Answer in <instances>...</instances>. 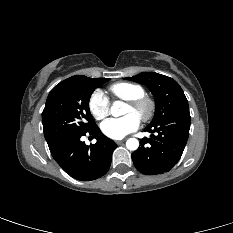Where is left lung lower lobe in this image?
Listing matches in <instances>:
<instances>
[{"label":"left lung lower lobe","instance_id":"left-lung-lower-lobe-1","mask_svg":"<svg viewBox=\"0 0 233 233\" xmlns=\"http://www.w3.org/2000/svg\"><path fill=\"white\" fill-rule=\"evenodd\" d=\"M191 117L189 111L169 116L161 122L147 126L151 138L140 140V147L132 153L137 170L145 175L168 172L181 158L189 137Z\"/></svg>","mask_w":233,"mask_h":233}]
</instances>
